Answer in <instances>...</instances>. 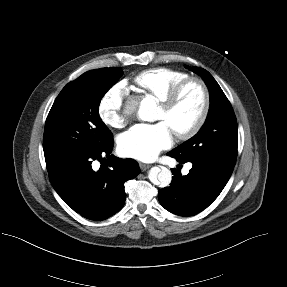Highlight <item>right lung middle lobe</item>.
I'll list each match as a JSON object with an SVG mask.
<instances>
[{
  "instance_id": "right-lung-middle-lobe-1",
  "label": "right lung middle lobe",
  "mask_w": 287,
  "mask_h": 287,
  "mask_svg": "<svg viewBox=\"0 0 287 287\" xmlns=\"http://www.w3.org/2000/svg\"><path fill=\"white\" fill-rule=\"evenodd\" d=\"M122 73L121 68L113 67L91 70L62 89L45 123L46 164L98 149L112 139L98 108L102 97Z\"/></svg>"
}]
</instances>
